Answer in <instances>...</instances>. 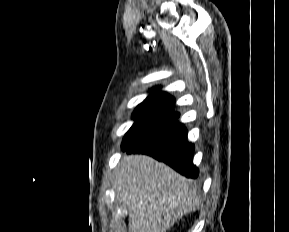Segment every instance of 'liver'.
<instances>
[{"label": "liver", "instance_id": "1", "mask_svg": "<svg viewBox=\"0 0 289 232\" xmlns=\"http://www.w3.org/2000/svg\"><path fill=\"white\" fill-rule=\"evenodd\" d=\"M114 188L128 210L130 232H166L200 201L192 180L143 154L121 159Z\"/></svg>", "mask_w": 289, "mask_h": 232}]
</instances>
